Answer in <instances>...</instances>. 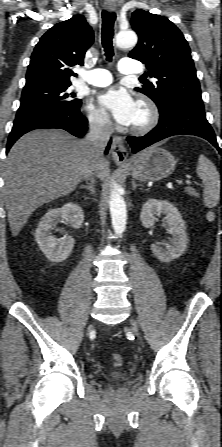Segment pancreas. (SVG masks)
I'll return each mask as SVG.
<instances>
[{
	"instance_id": "obj_1",
	"label": "pancreas",
	"mask_w": 222,
	"mask_h": 447,
	"mask_svg": "<svg viewBox=\"0 0 222 447\" xmlns=\"http://www.w3.org/2000/svg\"><path fill=\"white\" fill-rule=\"evenodd\" d=\"M185 192H186L187 194L191 195V196L199 197V193H198L195 189H193V188H191V187H186V188H185Z\"/></svg>"
}]
</instances>
